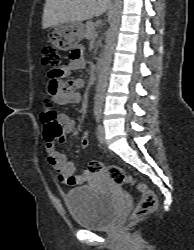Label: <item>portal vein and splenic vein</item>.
Listing matches in <instances>:
<instances>
[{
	"instance_id": "1",
	"label": "portal vein and splenic vein",
	"mask_w": 194,
	"mask_h": 250,
	"mask_svg": "<svg viewBox=\"0 0 194 250\" xmlns=\"http://www.w3.org/2000/svg\"><path fill=\"white\" fill-rule=\"evenodd\" d=\"M94 36L97 37V32L94 33Z\"/></svg>"
}]
</instances>
